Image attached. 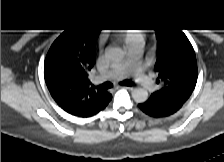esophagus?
Wrapping results in <instances>:
<instances>
[{
    "label": "esophagus",
    "instance_id": "esophagus-1",
    "mask_svg": "<svg viewBox=\"0 0 224 162\" xmlns=\"http://www.w3.org/2000/svg\"><path fill=\"white\" fill-rule=\"evenodd\" d=\"M120 88V87H117ZM123 88L127 89V90H133V87H129V86H123Z\"/></svg>",
    "mask_w": 224,
    "mask_h": 162
}]
</instances>
